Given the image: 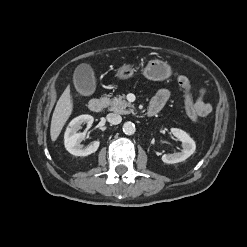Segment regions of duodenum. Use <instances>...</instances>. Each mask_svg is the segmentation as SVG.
Instances as JSON below:
<instances>
[{
	"label": "duodenum",
	"mask_w": 247,
	"mask_h": 247,
	"mask_svg": "<svg viewBox=\"0 0 247 247\" xmlns=\"http://www.w3.org/2000/svg\"><path fill=\"white\" fill-rule=\"evenodd\" d=\"M106 104H107V99L104 98V97H97V98H92L90 101H89V109L92 111V112H95V113H98V112H101L105 107H106ZM156 114V112L152 109H148L147 112H146V115L148 117H152Z\"/></svg>",
	"instance_id": "1"
}]
</instances>
